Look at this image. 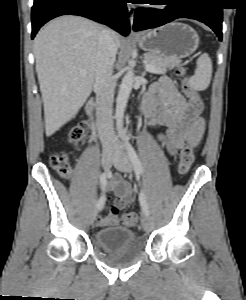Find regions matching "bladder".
<instances>
[{"mask_svg":"<svg viewBox=\"0 0 246 300\" xmlns=\"http://www.w3.org/2000/svg\"><path fill=\"white\" fill-rule=\"evenodd\" d=\"M95 245L109 259L119 262L133 260L142 252V244L134 231L122 226L97 231Z\"/></svg>","mask_w":246,"mask_h":300,"instance_id":"31cf9c89","label":"bladder"}]
</instances>
